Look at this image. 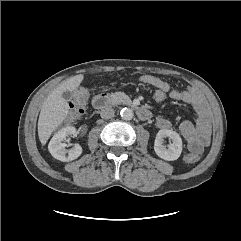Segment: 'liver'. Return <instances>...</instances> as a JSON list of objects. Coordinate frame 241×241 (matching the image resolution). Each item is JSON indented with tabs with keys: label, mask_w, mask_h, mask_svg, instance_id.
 <instances>
[{
	"label": "liver",
	"mask_w": 241,
	"mask_h": 241,
	"mask_svg": "<svg viewBox=\"0 0 241 241\" xmlns=\"http://www.w3.org/2000/svg\"><path fill=\"white\" fill-rule=\"evenodd\" d=\"M83 79L82 74L70 77L56 87L43 102L38 119V136L42 145L47 143L52 132L62 124L69 113L68 103L62 93L76 90Z\"/></svg>",
	"instance_id": "1"
}]
</instances>
